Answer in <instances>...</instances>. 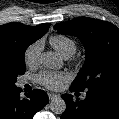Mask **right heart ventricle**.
<instances>
[{"label":"right heart ventricle","mask_w":119,"mask_h":119,"mask_svg":"<svg viewBox=\"0 0 119 119\" xmlns=\"http://www.w3.org/2000/svg\"><path fill=\"white\" fill-rule=\"evenodd\" d=\"M50 45L63 57L68 58L77 50L76 42L63 34H56L50 37Z\"/></svg>","instance_id":"right-heart-ventricle-1"}]
</instances>
